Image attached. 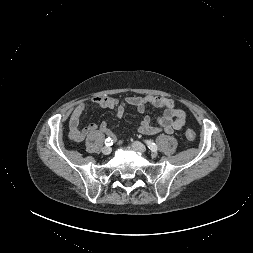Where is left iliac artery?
Wrapping results in <instances>:
<instances>
[{
  "label": "left iliac artery",
  "mask_w": 253,
  "mask_h": 253,
  "mask_svg": "<svg viewBox=\"0 0 253 253\" xmlns=\"http://www.w3.org/2000/svg\"><path fill=\"white\" fill-rule=\"evenodd\" d=\"M145 143L147 144V146L149 147V149L152 151V152H156L157 151V145L151 141V140H146Z\"/></svg>",
  "instance_id": "left-iliac-artery-1"
}]
</instances>
